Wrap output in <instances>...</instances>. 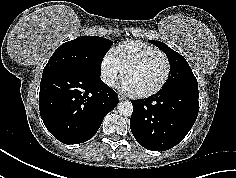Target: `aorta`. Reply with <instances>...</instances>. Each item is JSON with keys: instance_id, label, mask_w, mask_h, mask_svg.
I'll return each instance as SVG.
<instances>
[{"instance_id": "1", "label": "aorta", "mask_w": 236, "mask_h": 178, "mask_svg": "<svg viewBox=\"0 0 236 178\" xmlns=\"http://www.w3.org/2000/svg\"><path fill=\"white\" fill-rule=\"evenodd\" d=\"M117 109L118 113L123 116H131L133 113V105L129 101L119 102Z\"/></svg>"}]
</instances>
